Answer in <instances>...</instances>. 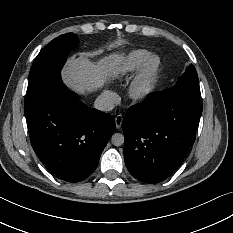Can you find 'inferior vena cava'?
<instances>
[{"label": "inferior vena cava", "instance_id": "inferior-vena-cava-1", "mask_svg": "<svg viewBox=\"0 0 233 233\" xmlns=\"http://www.w3.org/2000/svg\"><path fill=\"white\" fill-rule=\"evenodd\" d=\"M93 107L99 111H110L114 107V103L111 98L99 96L94 104Z\"/></svg>", "mask_w": 233, "mask_h": 233}]
</instances>
